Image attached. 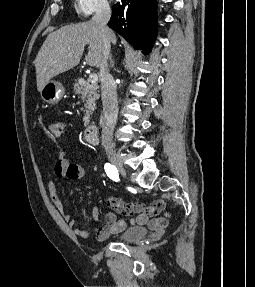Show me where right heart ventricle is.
Instances as JSON below:
<instances>
[{"label": "right heart ventricle", "mask_w": 255, "mask_h": 287, "mask_svg": "<svg viewBox=\"0 0 255 287\" xmlns=\"http://www.w3.org/2000/svg\"><path fill=\"white\" fill-rule=\"evenodd\" d=\"M124 39H129V38H124ZM120 48H135V47H120Z\"/></svg>", "instance_id": "obj_1"}]
</instances>
